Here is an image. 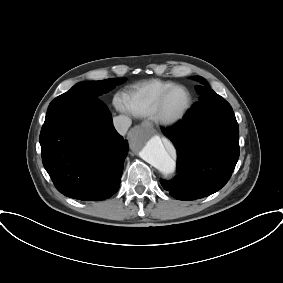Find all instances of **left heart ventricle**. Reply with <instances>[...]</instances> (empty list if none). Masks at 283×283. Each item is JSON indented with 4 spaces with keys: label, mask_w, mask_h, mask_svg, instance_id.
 <instances>
[{
    "label": "left heart ventricle",
    "mask_w": 283,
    "mask_h": 283,
    "mask_svg": "<svg viewBox=\"0 0 283 283\" xmlns=\"http://www.w3.org/2000/svg\"><path fill=\"white\" fill-rule=\"evenodd\" d=\"M187 95L183 90L172 92L165 101L164 109L167 113H178L186 104Z\"/></svg>",
    "instance_id": "b2bd125f"
}]
</instances>
